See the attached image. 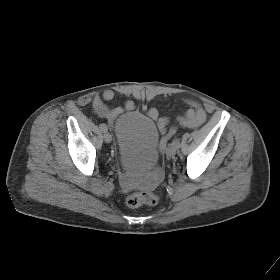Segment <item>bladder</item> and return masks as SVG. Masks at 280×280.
I'll return each mask as SVG.
<instances>
[{"label":"bladder","mask_w":280,"mask_h":280,"mask_svg":"<svg viewBox=\"0 0 280 280\" xmlns=\"http://www.w3.org/2000/svg\"><path fill=\"white\" fill-rule=\"evenodd\" d=\"M114 130L118 157L126 171L145 173L156 165L159 130L151 118L131 111L117 119Z\"/></svg>","instance_id":"bladder-1"}]
</instances>
